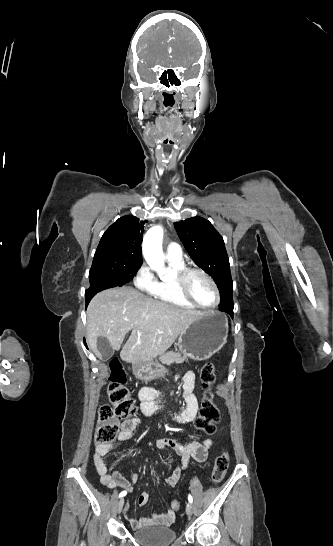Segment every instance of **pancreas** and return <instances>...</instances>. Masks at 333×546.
I'll return each instance as SVG.
<instances>
[{"label": "pancreas", "instance_id": "obj_1", "mask_svg": "<svg viewBox=\"0 0 333 546\" xmlns=\"http://www.w3.org/2000/svg\"><path fill=\"white\" fill-rule=\"evenodd\" d=\"M186 359V356H181L178 352L169 351L160 355L159 360L166 365L173 363H182Z\"/></svg>", "mask_w": 333, "mask_h": 546}]
</instances>
